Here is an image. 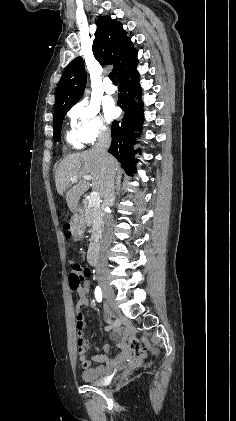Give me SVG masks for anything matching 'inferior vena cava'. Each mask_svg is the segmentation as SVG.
<instances>
[{
	"instance_id": "obj_1",
	"label": "inferior vena cava",
	"mask_w": 236,
	"mask_h": 421,
	"mask_svg": "<svg viewBox=\"0 0 236 421\" xmlns=\"http://www.w3.org/2000/svg\"><path fill=\"white\" fill-rule=\"evenodd\" d=\"M111 144V132L106 126H99L98 132V142L94 144L95 150H98L102 156H107L108 148ZM114 180L115 176H112L104 194L103 204L104 206H113L115 200L114 194ZM106 221V231L104 237L101 241L99 259L96 267V273H105L107 271L108 263L107 257L105 255L106 249L110 247L112 241V217L110 213H105L104 215Z\"/></svg>"
}]
</instances>
